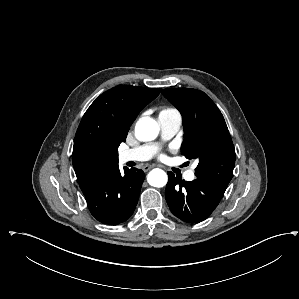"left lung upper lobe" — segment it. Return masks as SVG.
Returning a JSON list of instances; mask_svg holds the SVG:
<instances>
[{
  "mask_svg": "<svg viewBox=\"0 0 299 299\" xmlns=\"http://www.w3.org/2000/svg\"><path fill=\"white\" fill-rule=\"evenodd\" d=\"M162 93L183 116L181 150L186 158L199 160L195 175L226 189L233 175L235 150L220 110L196 89H164Z\"/></svg>",
  "mask_w": 299,
  "mask_h": 299,
  "instance_id": "obj_1",
  "label": "left lung upper lobe"
}]
</instances>
